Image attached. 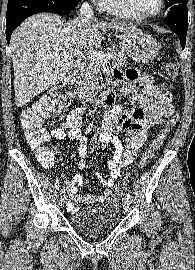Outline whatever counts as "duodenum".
<instances>
[{"label":"duodenum","mask_w":195,"mask_h":270,"mask_svg":"<svg viewBox=\"0 0 195 270\" xmlns=\"http://www.w3.org/2000/svg\"><path fill=\"white\" fill-rule=\"evenodd\" d=\"M81 72L82 66L78 65L73 73V78L79 83ZM78 97L84 102L95 100L101 106H111L114 103V94L112 92H107L96 96L91 89L85 88L80 84L78 87Z\"/></svg>","instance_id":"obj_1"}]
</instances>
